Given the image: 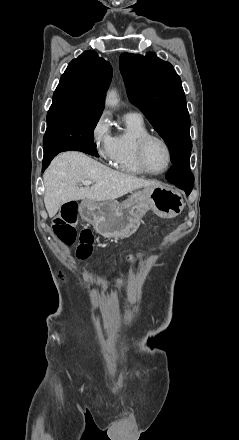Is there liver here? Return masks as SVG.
<instances>
[{"label":"liver","instance_id":"6515ba94","mask_svg":"<svg viewBox=\"0 0 239 440\" xmlns=\"http://www.w3.org/2000/svg\"><path fill=\"white\" fill-rule=\"evenodd\" d=\"M43 180L44 204L49 218H54L62 204L71 200L104 202L116 200L139 188H162L159 182L116 172L80 152H64L56 156L47 168ZM84 180H91L95 184L78 188V184Z\"/></svg>","mask_w":239,"mask_h":440}]
</instances>
